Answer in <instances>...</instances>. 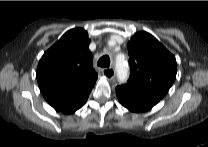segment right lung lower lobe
<instances>
[{"label": "right lung lower lobe", "mask_w": 208, "mask_h": 147, "mask_svg": "<svg viewBox=\"0 0 208 147\" xmlns=\"http://www.w3.org/2000/svg\"><path fill=\"white\" fill-rule=\"evenodd\" d=\"M85 102H86V101H85ZM85 102H84V103H85ZM84 103L80 104L79 106H77V107H75V108H73V109L67 110V111H65V112H63V113H66V114L73 113V112H75L76 110H78L80 107H82V106L84 105Z\"/></svg>", "instance_id": "1"}]
</instances>
